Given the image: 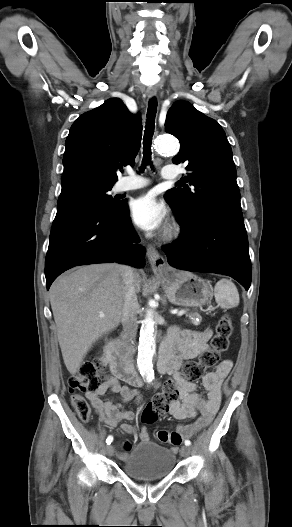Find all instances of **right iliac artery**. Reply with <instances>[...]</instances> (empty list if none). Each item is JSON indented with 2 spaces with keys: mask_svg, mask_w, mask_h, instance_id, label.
<instances>
[{
  "mask_svg": "<svg viewBox=\"0 0 292 527\" xmlns=\"http://www.w3.org/2000/svg\"><path fill=\"white\" fill-rule=\"evenodd\" d=\"M112 441H113V436L109 435V436L107 437V439H106V443H107L108 445H110V444L112 443Z\"/></svg>",
  "mask_w": 292,
  "mask_h": 527,
  "instance_id": "1",
  "label": "right iliac artery"
}]
</instances>
